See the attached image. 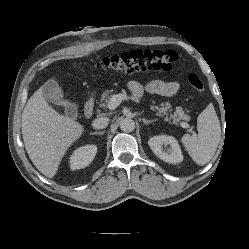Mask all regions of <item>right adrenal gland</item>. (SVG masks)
Returning <instances> with one entry per match:
<instances>
[{
	"label": "right adrenal gland",
	"instance_id": "right-adrenal-gland-1",
	"mask_svg": "<svg viewBox=\"0 0 249 249\" xmlns=\"http://www.w3.org/2000/svg\"><path fill=\"white\" fill-rule=\"evenodd\" d=\"M90 134H92V135H103L104 131H102V132H92Z\"/></svg>",
	"mask_w": 249,
	"mask_h": 249
}]
</instances>
